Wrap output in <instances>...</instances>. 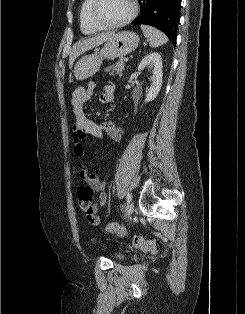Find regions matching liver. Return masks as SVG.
<instances>
[{
	"label": "liver",
	"mask_w": 245,
	"mask_h": 314,
	"mask_svg": "<svg viewBox=\"0 0 245 314\" xmlns=\"http://www.w3.org/2000/svg\"><path fill=\"white\" fill-rule=\"evenodd\" d=\"M114 33H101L97 36L91 37V38H85L80 41H78L72 49V52L69 57V68L71 69L73 66V63L77 57L85 53L86 51L93 49L94 47H97L101 45L102 43L106 42L109 37H111Z\"/></svg>",
	"instance_id": "liver-1"
}]
</instances>
